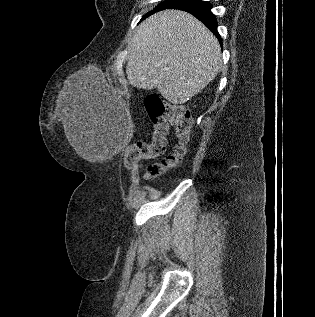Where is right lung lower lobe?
<instances>
[{
	"label": "right lung lower lobe",
	"mask_w": 315,
	"mask_h": 317,
	"mask_svg": "<svg viewBox=\"0 0 315 317\" xmlns=\"http://www.w3.org/2000/svg\"><path fill=\"white\" fill-rule=\"evenodd\" d=\"M212 5L202 0H181L180 2L167 7L166 9H179L184 10L204 23L209 30H211L220 40V35L217 32V21L214 14L210 11Z\"/></svg>",
	"instance_id": "right-lung-lower-lobe-1"
}]
</instances>
